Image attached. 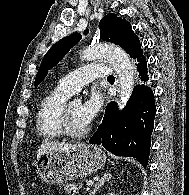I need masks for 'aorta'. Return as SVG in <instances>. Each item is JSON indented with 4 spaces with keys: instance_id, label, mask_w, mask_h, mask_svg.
I'll list each match as a JSON object with an SVG mask.
<instances>
[{
    "instance_id": "obj_1",
    "label": "aorta",
    "mask_w": 189,
    "mask_h": 195,
    "mask_svg": "<svg viewBox=\"0 0 189 195\" xmlns=\"http://www.w3.org/2000/svg\"><path fill=\"white\" fill-rule=\"evenodd\" d=\"M81 58L86 61L106 58L109 61L120 80V106L123 107L134 86V69L126 52L115 45L97 44L84 49Z\"/></svg>"
}]
</instances>
